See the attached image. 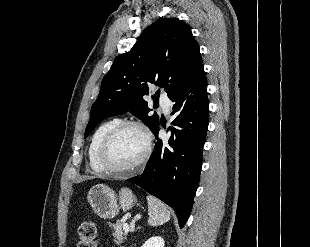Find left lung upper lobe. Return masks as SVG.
Returning <instances> with one entry per match:
<instances>
[{"mask_svg": "<svg viewBox=\"0 0 310 247\" xmlns=\"http://www.w3.org/2000/svg\"><path fill=\"white\" fill-rule=\"evenodd\" d=\"M199 45L188 25L178 18L157 20L146 28L132 49L115 58L104 77L85 137L103 119L131 112L152 131L159 116L144 99L151 84L163 88L170 98L203 66Z\"/></svg>", "mask_w": 310, "mask_h": 247, "instance_id": "obj_1", "label": "left lung upper lobe"}]
</instances>
